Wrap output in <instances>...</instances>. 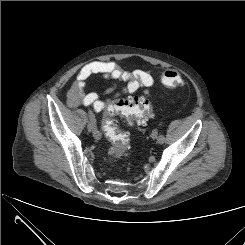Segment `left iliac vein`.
I'll return each instance as SVG.
<instances>
[{
	"label": "left iliac vein",
	"instance_id": "1",
	"mask_svg": "<svg viewBox=\"0 0 245 245\" xmlns=\"http://www.w3.org/2000/svg\"><path fill=\"white\" fill-rule=\"evenodd\" d=\"M157 135H158L157 130H154V131L152 132V134H151V137H152L153 139H157V141H158Z\"/></svg>",
	"mask_w": 245,
	"mask_h": 245
}]
</instances>
